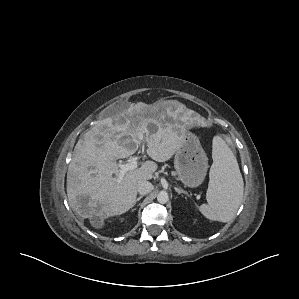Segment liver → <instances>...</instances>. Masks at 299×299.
Here are the masks:
<instances>
[{
    "mask_svg": "<svg viewBox=\"0 0 299 299\" xmlns=\"http://www.w3.org/2000/svg\"><path fill=\"white\" fill-rule=\"evenodd\" d=\"M168 107L129 104L107 117L78 140L67 172V196L75 214L90 219L100 228L104 219L121 215L135 205L137 184L150 180L158 169L154 162L172 158L182 142V135L170 123ZM146 141L147 154L154 161L127 172L121 183L113 174L119 172L116 160L128 158Z\"/></svg>",
    "mask_w": 299,
    "mask_h": 299,
    "instance_id": "1",
    "label": "liver"
}]
</instances>
